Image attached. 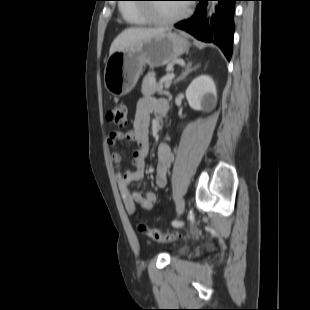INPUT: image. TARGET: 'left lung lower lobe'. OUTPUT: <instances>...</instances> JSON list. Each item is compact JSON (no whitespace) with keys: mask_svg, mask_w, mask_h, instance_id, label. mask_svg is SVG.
<instances>
[{"mask_svg":"<svg viewBox=\"0 0 310 310\" xmlns=\"http://www.w3.org/2000/svg\"><path fill=\"white\" fill-rule=\"evenodd\" d=\"M199 5L195 14L184 21L175 24V27L192 34L204 42H213L230 60L233 51L235 1L238 0H197ZM208 1H218L215 14L205 19Z\"/></svg>","mask_w":310,"mask_h":310,"instance_id":"obj_1","label":"left lung lower lobe"}]
</instances>
